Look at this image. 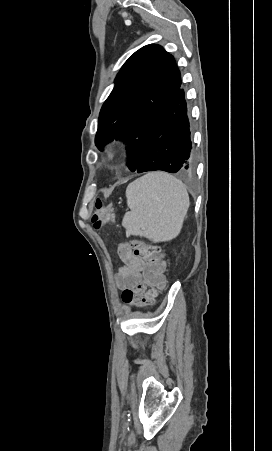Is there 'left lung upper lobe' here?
Here are the masks:
<instances>
[{
  "label": "left lung upper lobe",
  "mask_w": 272,
  "mask_h": 451,
  "mask_svg": "<svg viewBox=\"0 0 272 451\" xmlns=\"http://www.w3.org/2000/svg\"><path fill=\"white\" fill-rule=\"evenodd\" d=\"M180 86V71L172 55L160 45L140 48L117 74L114 89L102 106L97 148L102 150L113 139L126 141L127 165L135 171L160 114Z\"/></svg>",
  "instance_id": "1"
}]
</instances>
